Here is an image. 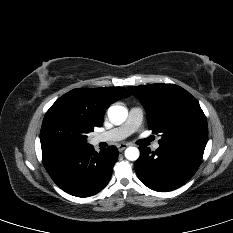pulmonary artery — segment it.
<instances>
[{"label": "pulmonary artery", "mask_w": 233, "mask_h": 233, "mask_svg": "<svg viewBox=\"0 0 233 233\" xmlns=\"http://www.w3.org/2000/svg\"><path fill=\"white\" fill-rule=\"evenodd\" d=\"M143 120V112L139 107H132L129 111L127 120L120 126L108 131L96 134L93 138L94 143L115 142L120 141L135 132L141 125ZM159 143L153 144L154 149L159 148Z\"/></svg>", "instance_id": "e3ab8cb5"}]
</instances>
